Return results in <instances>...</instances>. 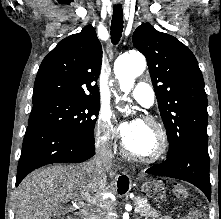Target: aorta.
I'll return each mask as SVG.
<instances>
[{"mask_svg": "<svg viewBox=\"0 0 221 219\" xmlns=\"http://www.w3.org/2000/svg\"><path fill=\"white\" fill-rule=\"evenodd\" d=\"M146 67V60L141 54L121 55L114 63V73L120 82V88L128 93L133 87L136 77L141 75Z\"/></svg>", "mask_w": 221, "mask_h": 219, "instance_id": "762f6f07", "label": "aorta"}]
</instances>
